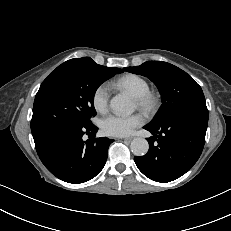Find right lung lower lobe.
I'll list each match as a JSON object with an SVG mask.
<instances>
[{
    "instance_id": "98d812e1",
    "label": "right lung lower lobe",
    "mask_w": 231,
    "mask_h": 231,
    "mask_svg": "<svg viewBox=\"0 0 231 231\" xmlns=\"http://www.w3.org/2000/svg\"><path fill=\"white\" fill-rule=\"evenodd\" d=\"M94 124L62 130L49 141L35 142L42 163L57 178L73 184L94 178L104 167L107 150L114 141L95 138ZM87 134L89 139L83 140Z\"/></svg>"
}]
</instances>
